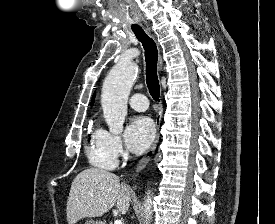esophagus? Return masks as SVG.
I'll use <instances>...</instances> for the list:
<instances>
[{
	"mask_svg": "<svg viewBox=\"0 0 275 224\" xmlns=\"http://www.w3.org/2000/svg\"><path fill=\"white\" fill-rule=\"evenodd\" d=\"M162 63H163L162 62V58H161V56H159V61H158V70L159 71H161V69H162ZM161 117H162V111H160L158 113L157 118H156V127H157V130H159V127H160ZM158 141H159V133L157 132V135L155 137V140H154L151 148L149 149V151L147 152V154L141 159V161L137 165L136 172H139V171L143 170L146 167L147 163L151 159V157H152V155H153V153H154V151L156 149Z\"/></svg>",
	"mask_w": 275,
	"mask_h": 224,
	"instance_id": "1",
	"label": "esophagus"
}]
</instances>
